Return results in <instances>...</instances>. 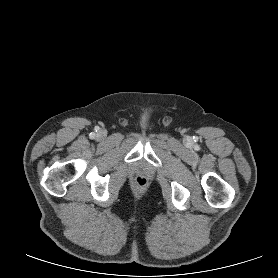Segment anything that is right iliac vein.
Returning <instances> with one entry per match:
<instances>
[{
	"label": "right iliac vein",
	"instance_id": "63e3f726",
	"mask_svg": "<svg viewBox=\"0 0 278 278\" xmlns=\"http://www.w3.org/2000/svg\"><path fill=\"white\" fill-rule=\"evenodd\" d=\"M99 136H100V137H103V136H104V133H103V132H100V133H99Z\"/></svg>",
	"mask_w": 278,
	"mask_h": 278
}]
</instances>
